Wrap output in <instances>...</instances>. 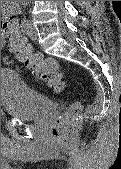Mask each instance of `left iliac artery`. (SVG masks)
<instances>
[{"label": "left iliac artery", "mask_w": 121, "mask_h": 169, "mask_svg": "<svg viewBox=\"0 0 121 169\" xmlns=\"http://www.w3.org/2000/svg\"><path fill=\"white\" fill-rule=\"evenodd\" d=\"M28 24H29V20L27 18H24L21 22V28L23 31L27 30Z\"/></svg>", "instance_id": "1"}]
</instances>
